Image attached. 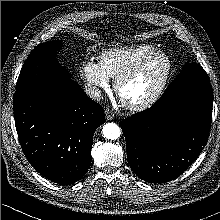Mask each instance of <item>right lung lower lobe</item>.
<instances>
[{
	"mask_svg": "<svg viewBox=\"0 0 220 220\" xmlns=\"http://www.w3.org/2000/svg\"><path fill=\"white\" fill-rule=\"evenodd\" d=\"M13 102L19 141L30 164L61 185L80 180L92 160L94 132L105 120L103 107L70 78L16 90Z\"/></svg>",
	"mask_w": 220,
	"mask_h": 220,
	"instance_id": "1",
	"label": "right lung lower lobe"
}]
</instances>
